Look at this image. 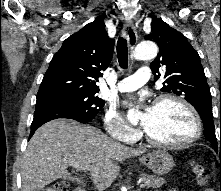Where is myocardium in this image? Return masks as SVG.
Segmentation results:
<instances>
[{
    "label": "myocardium",
    "mask_w": 221,
    "mask_h": 191,
    "mask_svg": "<svg viewBox=\"0 0 221 191\" xmlns=\"http://www.w3.org/2000/svg\"><path fill=\"white\" fill-rule=\"evenodd\" d=\"M165 101H174L180 104L181 106H183L189 112L194 122L193 134L186 140H183L180 142H164V141H159V140L152 138L146 131H144L143 135H144L145 140L152 146L159 147V148H167V149L184 148L198 141L202 135L203 124H202L200 115L195 109V107L186 99L175 94H162L158 96L153 102V107H156Z\"/></svg>",
    "instance_id": "obj_1"
}]
</instances>
